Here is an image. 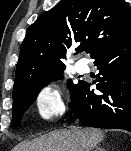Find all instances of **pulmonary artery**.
I'll use <instances>...</instances> for the list:
<instances>
[{"mask_svg": "<svg viewBox=\"0 0 131 151\" xmlns=\"http://www.w3.org/2000/svg\"><path fill=\"white\" fill-rule=\"evenodd\" d=\"M75 70L78 73H85V72L88 71V66L84 62L78 61V62L75 63Z\"/></svg>", "mask_w": 131, "mask_h": 151, "instance_id": "pulmonary-artery-1", "label": "pulmonary artery"}]
</instances>
